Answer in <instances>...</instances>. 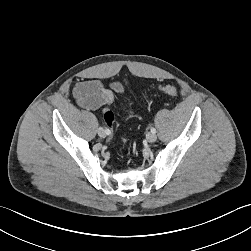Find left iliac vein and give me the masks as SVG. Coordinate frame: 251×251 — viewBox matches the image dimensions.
I'll list each match as a JSON object with an SVG mask.
<instances>
[{
    "label": "left iliac vein",
    "instance_id": "left-iliac-vein-1",
    "mask_svg": "<svg viewBox=\"0 0 251 251\" xmlns=\"http://www.w3.org/2000/svg\"><path fill=\"white\" fill-rule=\"evenodd\" d=\"M146 139H147L148 142L153 143V142L156 141L157 136H156L155 133L149 132V133L146 135Z\"/></svg>",
    "mask_w": 251,
    "mask_h": 251
}]
</instances>
